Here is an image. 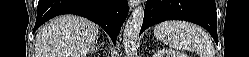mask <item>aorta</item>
I'll list each match as a JSON object with an SVG mask.
<instances>
[{"label": "aorta", "instance_id": "obj_1", "mask_svg": "<svg viewBox=\"0 0 249 57\" xmlns=\"http://www.w3.org/2000/svg\"><path fill=\"white\" fill-rule=\"evenodd\" d=\"M144 20V7L139 5L131 13L123 31V48L126 55H134L137 40Z\"/></svg>", "mask_w": 249, "mask_h": 57}]
</instances>
